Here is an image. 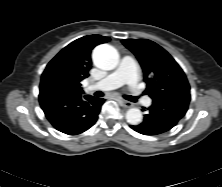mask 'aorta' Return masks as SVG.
Masks as SVG:
<instances>
[{
  "instance_id": "aorta-1",
  "label": "aorta",
  "mask_w": 222,
  "mask_h": 187,
  "mask_svg": "<svg viewBox=\"0 0 222 187\" xmlns=\"http://www.w3.org/2000/svg\"><path fill=\"white\" fill-rule=\"evenodd\" d=\"M94 64L105 70H112L117 67L119 63V54L117 50L108 44H101L93 50ZM126 120L131 125H138L143 120V115L140 109L130 108L126 112Z\"/></svg>"
}]
</instances>
